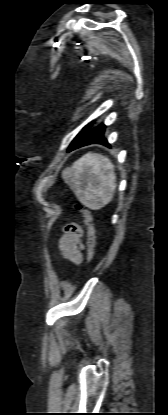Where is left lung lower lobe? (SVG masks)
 I'll use <instances>...</instances> for the list:
<instances>
[{
    "instance_id": "1",
    "label": "left lung lower lobe",
    "mask_w": 168,
    "mask_h": 415,
    "mask_svg": "<svg viewBox=\"0 0 168 415\" xmlns=\"http://www.w3.org/2000/svg\"><path fill=\"white\" fill-rule=\"evenodd\" d=\"M106 126L101 124L93 129H88L74 142L72 146L69 147L68 151L89 145V144H102L110 147V144L107 142V139L104 138Z\"/></svg>"
}]
</instances>
